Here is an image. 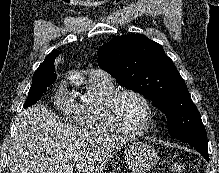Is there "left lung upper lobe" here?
Instances as JSON below:
<instances>
[{
    "mask_svg": "<svg viewBox=\"0 0 219 173\" xmlns=\"http://www.w3.org/2000/svg\"><path fill=\"white\" fill-rule=\"evenodd\" d=\"M98 65L120 85L141 93L164 112L172 137L208 147L200 113L160 44L138 33L114 37L98 49Z\"/></svg>",
    "mask_w": 219,
    "mask_h": 173,
    "instance_id": "5c2ea615",
    "label": "left lung upper lobe"
}]
</instances>
